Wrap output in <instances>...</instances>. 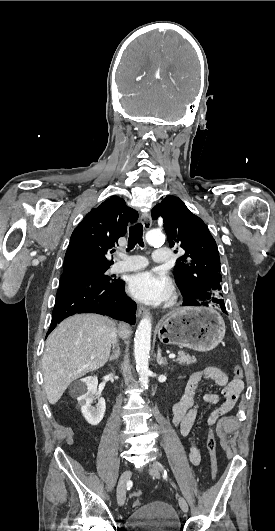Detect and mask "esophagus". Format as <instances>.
Masks as SVG:
<instances>
[{"mask_svg":"<svg viewBox=\"0 0 275 531\" xmlns=\"http://www.w3.org/2000/svg\"><path fill=\"white\" fill-rule=\"evenodd\" d=\"M141 222H142L145 230L150 229V227L152 225L151 215L149 213H143L142 216H141ZM138 314L140 316L148 314V310L144 306H138Z\"/></svg>","mask_w":275,"mask_h":531,"instance_id":"esophagus-1","label":"esophagus"}]
</instances>
